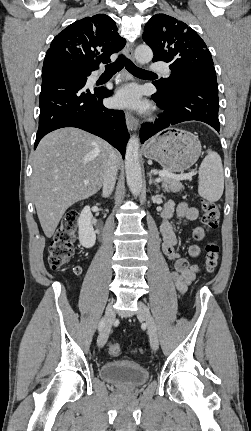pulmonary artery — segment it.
I'll return each instance as SVG.
<instances>
[{
    "label": "pulmonary artery",
    "instance_id": "pulmonary-artery-1",
    "mask_svg": "<svg viewBox=\"0 0 251 431\" xmlns=\"http://www.w3.org/2000/svg\"><path fill=\"white\" fill-rule=\"evenodd\" d=\"M150 70L151 71H156V72H161V73H163L165 75H169L170 74V69H169L168 65L165 64V63H162V62L152 63L150 65Z\"/></svg>",
    "mask_w": 251,
    "mask_h": 431
}]
</instances>
